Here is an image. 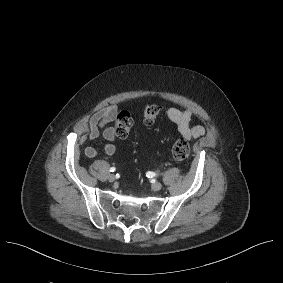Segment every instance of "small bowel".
Here are the masks:
<instances>
[{
	"label": "small bowel",
	"mask_w": 283,
	"mask_h": 283,
	"mask_svg": "<svg viewBox=\"0 0 283 283\" xmlns=\"http://www.w3.org/2000/svg\"><path fill=\"white\" fill-rule=\"evenodd\" d=\"M167 117L172 121L181 136L187 140L197 139L206 133V129L202 125L191 126L192 111L188 108L171 107L166 112ZM117 115L115 106H106L94 113L88 121V138L95 140L99 136H103L106 140L104 152L107 155H113L116 152L114 141L116 139L113 127L107 126ZM86 157L93 159L98 155V151L94 147L85 149Z\"/></svg>",
	"instance_id": "obj_1"
}]
</instances>
